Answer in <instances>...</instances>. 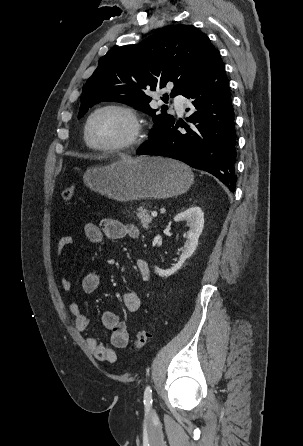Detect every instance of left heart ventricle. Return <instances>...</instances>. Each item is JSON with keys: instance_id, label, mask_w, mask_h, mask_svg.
I'll return each instance as SVG.
<instances>
[{"instance_id": "obj_1", "label": "left heart ventricle", "mask_w": 303, "mask_h": 446, "mask_svg": "<svg viewBox=\"0 0 303 446\" xmlns=\"http://www.w3.org/2000/svg\"><path fill=\"white\" fill-rule=\"evenodd\" d=\"M129 119L117 111H103L92 120L89 137L96 146H112L125 141L131 134Z\"/></svg>"}]
</instances>
